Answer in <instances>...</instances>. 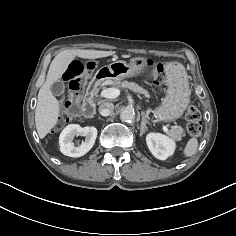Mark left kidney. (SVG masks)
<instances>
[{
    "instance_id": "1",
    "label": "left kidney",
    "mask_w": 236,
    "mask_h": 236,
    "mask_svg": "<svg viewBox=\"0 0 236 236\" xmlns=\"http://www.w3.org/2000/svg\"><path fill=\"white\" fill-rule=\"evenodd\" d=\"M146 143L151 153L159 160L167 159L175 150L174 140L160 133H149Z\"/></svg>"
}]
</instances>
